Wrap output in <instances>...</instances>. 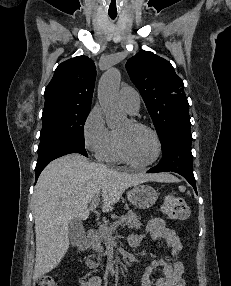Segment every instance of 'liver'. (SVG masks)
<instances>
[{
	"label": "liver",
	"instance_id": "6515ba94",
	"mask_svg": "<svg viewBox=\"0 0 231 286\" xmlns=\"http://www.w3.org/2000/svg\"><path fill=\"white\" fill-rule=\"evenodd\" d=\"M147 181L176 182L170 174H128L68 154L52 161L34 189L36 259L33 280L49 273L69 248L72 219L86 220L89 203L102 192L103 212L113 209L124 191Z\"/></svg>",
	"mask_w": 231,
	"mask_h": 286
}]
</instances>
